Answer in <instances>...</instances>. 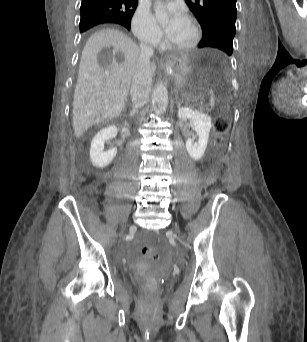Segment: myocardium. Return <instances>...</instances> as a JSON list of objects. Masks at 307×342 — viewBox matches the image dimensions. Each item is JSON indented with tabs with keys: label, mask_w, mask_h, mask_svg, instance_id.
<instances>
[{
	"label": "myocardium",
	"mask_w": 307,
	"mask_h": 342,
	"mask_svg": "<svg viewBox=\"0 0 307 342\" xmlns=\"http://www.w3.org/2000/svg\"><path fill=\"white\" fill-rule=\"evenodd\" d=\"M188 27L191 32V38L185 46L176 49V51L179 53H186V52L193 50L199 44L201 40V31L199 30L196 23L193 21H189Z\"/></svg>",
	"instance_id": "myocardium-1"
}]
</instances>
